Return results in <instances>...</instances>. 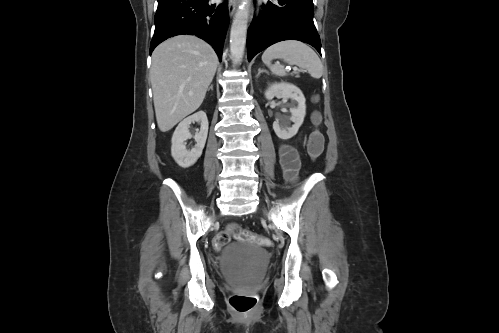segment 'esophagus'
<instances>
[{
	"label": "esophagus",
	"mask_w": 499,
	"mask_h": 333,
	"mask_svg": "<svg viewBox=\"0 0 499 333\" xmlns=\"http://www.w3.org/2000/svg\"><path fill=\"white\" fill-rule=\"evenodd\" d=\"M236 6H237V0H229L228 11H229L230 17H232L234 15L235 10H236Z\"/></svg>",
	"instance_id": "obj_1"
}]
</instances>
